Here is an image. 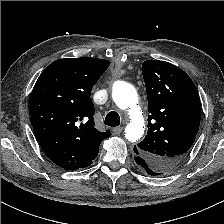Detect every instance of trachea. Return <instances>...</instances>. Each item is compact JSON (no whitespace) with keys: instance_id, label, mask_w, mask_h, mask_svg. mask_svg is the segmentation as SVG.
<instances>
[{"instance_id":"3493384b","label":"trachea","mask_w":224,"mask_h":224,"mask_svg":"<svg viewBox=\"0 0 224 224\" xmlns=\"http://www.w3.org/2000/svg\"><path fill=\"white\" fill-rule=\"evenodd\" d=\"M104 123H105V125L111 126V127L119 126V124H120L119 114L115 111L109 112L105 117Z\"/></svg>"}]
</instances>
